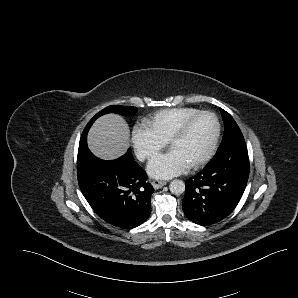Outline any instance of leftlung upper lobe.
Segmentation results:
<instances>
[{"label": "left lung upper lobe", "mask_w": 298, "mask_h": 298, "mask_svg": "<svg viewBox=\"0 0 298 298\" xmlns=\"http://www.w3.org/2000/svg\"><path fill=\"white\" fill-rule=\"evenodd\" d=\"M220 111H221V115L223 118L225 128H224V135H223L222 142H221L216 154L222 153L227 148H229L235 144L245 142L244 137H243L238 125L232 118V116L228 112L223 110L222 108H220Z\"/></svg>", "instance_id": "1"}]
</instances>
